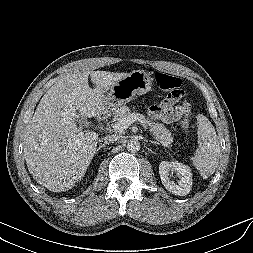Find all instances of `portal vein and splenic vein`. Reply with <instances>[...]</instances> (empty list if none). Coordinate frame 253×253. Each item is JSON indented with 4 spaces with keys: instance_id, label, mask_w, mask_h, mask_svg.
<instances>
[{
    "instance_id": "portal-vein-and-splenic-vein-1",
    "label": "portal vein and splenic vein",
    "mask_w": 253,
    "mask_h": 253,
    "mask_svg": "<svg viewBox=\"0 0 253 253\" xmlns=\"http://www.w3.org/2000/svg\"><path fill=\"white\" fill-rule=\"evenodd\" d=\"M135 121H139L141 125L145 127L144 122L141 120L140 114L132 113L127 117L121 118L117 123H115L113 125V130H115L116 132H122Z\"/></svg>"
}]
</instances>
